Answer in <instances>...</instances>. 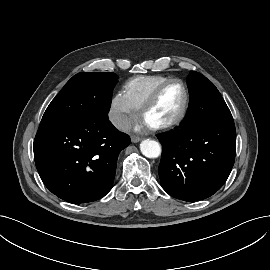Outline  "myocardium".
Segmentation results:
<instances>
[{"mask_svg": "<svg viewBox=\"0 0 270 270\" xmlns=\"http://www.w3.org/2000/svg\"><path fill=\"white\" fill-rule=\"evenodd\" d=\"M178 83L183 87L184 90V100L180 107V109L168 120L155 124V125H149L150 128L154 131H163L171 129L177 125H179L186 117L189 105H190V91L187 86V84L178 78H171L161 84H159L155 90L151 93V95L148 97V99L143 103L141 108L139 109V115L143 119L144 116L147 114V112L150 110V108L156 103L159 96L161 95L162 91L168 87L171 84Z\"/></svg>", "mask_w": 270, "mask_h": 270, "instance_id": "obj_1", "label": "myocardium"}]
</instances>
